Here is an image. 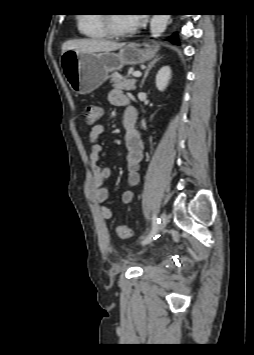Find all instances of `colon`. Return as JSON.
Masks as SVG:
<instances>
[{"label": "colon", "instance_id": "1", "mask_svg": "<svg viewBox=\"0 0 254 355\" xmlns=\"http://www.w3.org/2000/svg\"><path fill=\"white\" fill-rule=\"evenodd\" d=\"M101 116V107L97 105H89L86 108L85 119L89 126L95 125ZM119 238L127 239L131 237V229L125 224H118L115 228Z\"/></svg>", "mask_w": 254, "mask_h": 355}]
</instances>
